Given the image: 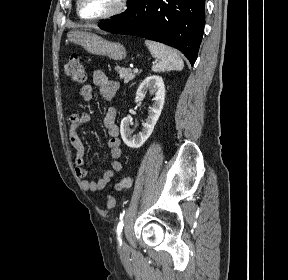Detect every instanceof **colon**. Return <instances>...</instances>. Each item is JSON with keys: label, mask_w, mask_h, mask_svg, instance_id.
I'll return each mask as SVG.
<instances>
[{"label": "colon", "mask_w": 288, "mask_h": 280, "mask_svg": "<svg viewBox=\"0 0 288 280\" xmlns=\"http://www.w3.org/2000/svg\"><path fill=\"white\" fill-rule=\"evenodd\" d=\"M66 75L75 83H83L86 80V72L80 60V57L76 54H72L65 66ZM132 185V179L130 177H124L119 183H117L113 190L120 191L127 189ZM107 208L112 209L116 205V200L110 192L106 196Z\"/></svg>", "instance_id": "colon-1"}]
</instances>
